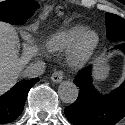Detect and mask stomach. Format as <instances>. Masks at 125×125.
Segmentation results:
<instances>
[{
  "label": "stomach",
  "instance_id": "1",
  "mask_svg": "<svg viewBox=\"0 0 125 125\" xmlns=\"http://www.w3.org/2000/svg\"><path fill=\"white\" fill-rule=\"evenodd\" d=\"M61 13L62 12H60V14ZM96 61H97V65L95 69V78L98 81H102L107 77L109 72L108 60L107 59L99 60V58H97Z\"/></svg>",
  "mask_w": 125,
  "mask_h": 125
}]
</instances>
